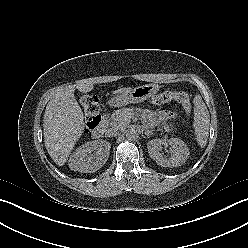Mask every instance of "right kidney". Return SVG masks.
<instances>
[{"mask_svg":"<svg viewBox=\"0 0 248 248\" xmlns=\"http://www.w3.org/2000/svg\"><path fill=\"white\" fill-rule=\"evenodd\" d=\"M111 144L104 140L90 141L79 148L69 158V168L81 173H93L107 161Z\"/></svg>","mask_w":248,"mask_h":248,"instance_id":"ca27d5eb","label":"right kidney"}]
</instances>
